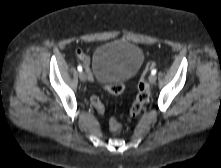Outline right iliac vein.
<instances>
[{
    "instance_id": "1",
    "label": "right iliac vein",
    "mask_w": 221,
    "mask_h": 168,
    "mask_svg": "<svg viewBox=\"0 0 221 168\" xmlns=\"http://www.w3.org/2000/svg\"><path fill=\"white\" fill-rule=\"evenodd\" d=\"M79 78H80V80L81 81H86L87 80V74L84 72V71H82V72H80V74H79Z\"/></svg>"
}]
</instances>
